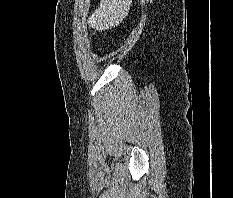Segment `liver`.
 Instances as JSON below:
<instances>
[{"label": "liver", "mask_w": 233, "mask_h": 198, "mask_svg": "<svg viewBox=\"0 0 233 198\" xmlns=\"http://www.w3.org/2000/svg\"><path fill=\"white\" fill-rule=\"evenodd\" d=\"M131 4L132 0H100L87 22L97 31L118 26L128 16Z\"/></svg>", "instance_id": "1"}]
</instances>
